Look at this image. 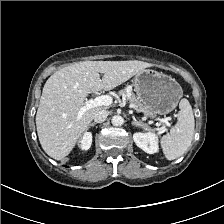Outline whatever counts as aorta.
Segmentation results:
<instances>
[{"label": "aorta", "mask_w": 224, "mask_h": 224, "mask_svg": "<svg viewBox=\"0 0 224 224\" xmlns=\"http://www.w3.org/2000/svg\"><path fill=\"white\" fill-rule=\"evenodd\" d=\"M111 122L114 126H121L124 123V119L120 115H114L111 119Z\"/></svg>", "instance_id": "obj_1"}]
</instances>
